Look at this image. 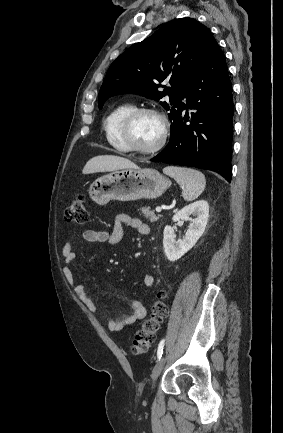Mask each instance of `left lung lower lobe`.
I'll use <instances>...</instances> for the list:
<instances>
[{
  "label": "left lung lower lobe",
  "instance_id": "0a47b994",
  "mask_svg": "<svg viewBox=\"0 0 283 433\" xmlns=\"http://www.w3.org/2000/svg\"><path fill=\"white\" fill-rule=\"evenodd\" d=\"M186 110L172 122L170 141L151 161L217 172L231 181L233 94L216 43L186 89Z\"/></svg>",
  "mask_w": 283,
  "mask_h": 433
}]
</instances>
